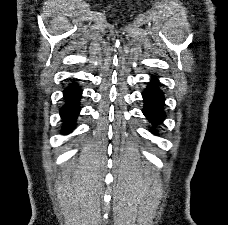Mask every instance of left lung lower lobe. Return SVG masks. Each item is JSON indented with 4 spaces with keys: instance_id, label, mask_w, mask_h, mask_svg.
Instances as JSON below:
<instances>
[{
    "instance_id": "1",
    "label": "left lung lower lobe",
    "mask_w": 228,
    "mask_h": 225,
    "mask_svg": "<svg viewBox=\"0 0 228 225\" xmlns=\"http://www.w3.org/2000/svg\"><path fill=\"white\" fill-rule=\"evenodd\" d=\"M142 95L145 103L143 109L144 115L152 123L160 124L165 118V113L162 110L164 105V94L158 88V83L155 78L149 83V86Z\"/></svg>"
}]
</instances>
